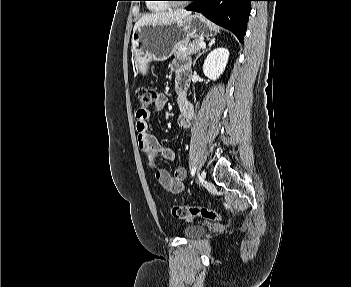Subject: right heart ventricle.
I'll list each match as a JSON object with an SVG mask.
<instances>
[{
	"mask_svg": "<svg viewBox=\"0 0 351 287\" xmlns=\"http://www.w3.org/2000/svg\"><path fill=\"white\" fill-rule=\"evenodd\" d=\"M148 8L153 12H158L166 9L163 4H159V3H149Z\"/></svg>",
	"mask_w": 351,
	"mask_h": 287,
	"instance_id": "1",
	"label": "right heart ventricle"
}]
</instances>
